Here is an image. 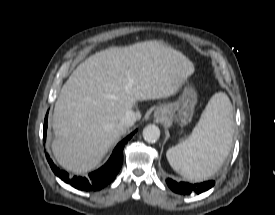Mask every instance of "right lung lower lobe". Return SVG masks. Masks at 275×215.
<instances>
[{
  "label": "right lung lower lobe",
  "instance_id": "right-lung-lower-lobe-1",
  "mask_svg": "<svg viewBox=\"0 0 275 215\" xmlns=\"http://www.w3.org/2000/svg\"><path fill=\"white\" fill-rule=\"evenodd\" d=\"M46 129H47V115L45 117V122H44V131H43L44 140L46 139ZM133 134L134 132L131 133L129 136H127L123 141H121L114 149L108 162L104 166H102L100 169L90 173L88 178L76 177V176H74L73 178H70L67 172L60 170L53 164L48 154H46V157L54 173L65 183H69L71 186L79 190H85V191L100 190L103 187L107 186L109 183H111L115 179L116 175L118 174L123 162L124 146L128 142V140L133 136Z\"/></svg>",
  "mask_w": 275,
  "mask_h": 215
}]
</instances>
